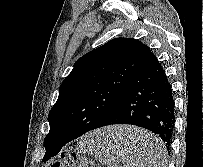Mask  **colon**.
<instances>
[{
    "label": "colon",
    "mask_w": 203,
    "mask_h": 167,
    "mask_svg": "<svg viewBox=\"0 0 203 167\" xmlns=\"http://www.w3.org/2000/svg\"><path fill=\"white\" fill-rule=\"evenodd\" d=\"M51 167H96L90 161L80 157L75 152H69L62 157V160L55 162Z\"/></svg>",
    "instance_id": "1"
}]
</instances>
